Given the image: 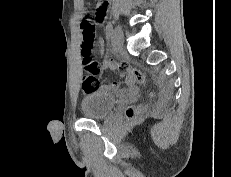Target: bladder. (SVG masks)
Listing matches in <instances>:
<instances>
[{
    "label": "bladder",
    "mask_w": 231,
    "mask_h": 177,
    "mask_svg": "<svg viewBox=\"0 0 231 177\" xmlns=\"http://www.w3.org/2000/svg\"><path fill=\"white\" fill-rule=\"evenodd\" d=\"M116 98L110 93L95 91L86 95L81 101V113L84 118L104 119L112 111Z\"/></svg>",
    "instance_id": "obj_1"
}]
</instances>
